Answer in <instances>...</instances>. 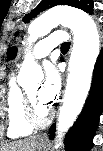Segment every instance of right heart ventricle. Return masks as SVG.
<instances>
[{"mask_svg":"<svg viewBox=\"0 0 103 151\" xmlns=\"http://www.w3.org/2000/svg\"><path fill=\"white\" fill-rule=\"evenodd\" d=\"M24 91L18 85L15 75L12 74L8 81L7 114L9 138H21L32 134L34 128L25 120L24 116Z\"/></svg>","mask_w":103,"mask_h":151,"instance_id":"1","label":"right heart ventricle"}]
</instances>
